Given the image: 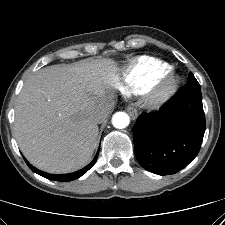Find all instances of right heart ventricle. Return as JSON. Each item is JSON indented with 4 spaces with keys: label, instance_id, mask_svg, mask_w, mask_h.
I'll list each match as a JSON object with an SVG mask.
<instances>
[{
    "label": "right heart ventricle",
    "instance_id": "1",
    "mask_svg": "<svg viewBox=\"0 0 225 225\" xmlns=\"http://www.w3.org/2000/svg\"><path fill=\"white\" fill-rule=\"evenodd\" d=\"M170 71L168 63L155 57L141 56L126 69L122 88L125 93L139 94Z\"/></svg>",
    "mask_w": 225,
    "mask_h": 225
}]
</instances>
